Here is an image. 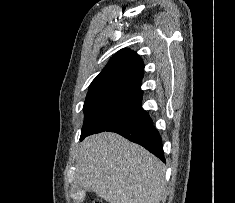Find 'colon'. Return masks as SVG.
Masks as SVG:
<instances>
[{
  "label": "colon",
  "mask_w": 235,
  "mask_h": 203,
  "mask_svg": "<svg viewBox=\"0 0 235 203\" xmlns=\"http://www.w3.org/2000/svg\"><path fill=\"white\" fill-rule=\"evenodd\" d=\"M95 203H103L102 201H96Z\"/></svg>",
  "instance_id": "obj_1"
}]
</instances>
